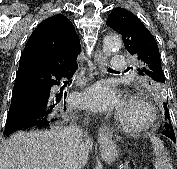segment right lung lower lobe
<instances>
[{
    "mask_svg": "<svg viewBox=\"0 0 177 169\" xmlns=\"http://www.w3.org/2000/svg\"><path fill=\"white\" fill-rule=\"evenodd\" d=\"M78 66L72 69H49L21 66L18 68L9 108L5 135L31 127L55 125L66 118V106L53 87L62 78L70 79Z\"/></svg>",
    "mask_w": 177,
    "mask_h": 169,
    "instance_id": "98d812e1",
    "label": "right lung lower lobe"
}]
</instances>
